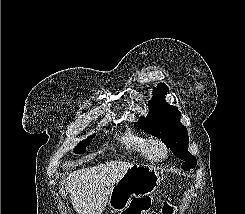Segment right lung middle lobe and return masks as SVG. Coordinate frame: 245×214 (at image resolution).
Segmentation results:
<instances>
[{
	"label": "right lung middle lobe",
	"instance_id": "1",
	"mask_svg": "<svg viewBox=\"0 0 245 214\" xmlns=\"http://www.w3.org/2000/svg\"><path fill=\"white\" fill-rule=\"evenodd\" d=\"M95 134L89 136L86 140L81 141L78 143L77 147L75 148V153H85L86 146H88Z\"/></svg>",
	"mask_w": 245,
	"mask_h": 214
}]
</instances>
